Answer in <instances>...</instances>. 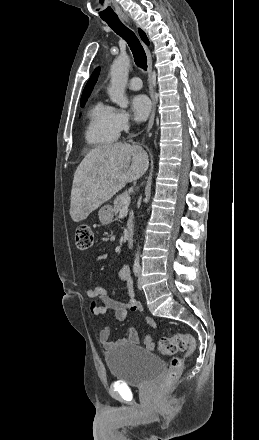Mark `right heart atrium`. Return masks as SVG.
<instances>
[{"instance_id":"obj_1","label":"right heart atrium","mask_w":259,"mask_h":440,"mask_svg":"<svg viewBox=\"0 0 259 440\" xmlns=\"http://www.w3.org/2000/svg\"><path fill=\"white\" fill-rule=\"evenodd\" d=\"M113 121L118 133L126 132L131 126L132 117L125 110L114 109Z\"/></svg>"}]
</instances>
